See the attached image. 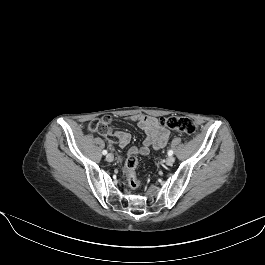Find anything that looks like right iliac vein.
Listing matches in <instances>:
<instances>
[{
    "label": "right iliac vein",
    "instance_id": "right-iliac-vein-1",
    "mask_svg": "<svg viewBox=\"0 0 265 265\" xmlns=\"http://www.w3.org/2000/svg\"><path fill=\"white\" fill-rule=\"evenodd\" d=\"M113 159H114L113 154L109 153V154L106 155V160H107L108 162H112Z\"/></svg>",
    "mask_w": 265,
    "mask_h": 265
}]
</instances>
